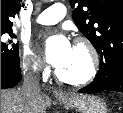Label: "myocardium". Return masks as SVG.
Instances as JSON below:
<instances>
[{
    "label": "myocardium",
    "instance_id": "1",
    "mask_svg": "<svg viewBox=\"0 0 123 113\" xmlns=\"http://www.w3.org/2000/svg\"><path fill=\"white\" fill-rule=\"evenodd\" d=\"M75 46L82 48L88 55V69L86 73L79 77H67L60 73L59 69L55 70L56 78L66 84L84 85L92 82L98 73L99 68V54L90 40L85 37H77L75 39Z\"/></svg>",
    "mask_w": 123,
    "mask_h": 113
}]
</instances>
